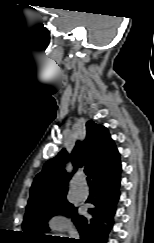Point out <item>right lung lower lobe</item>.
<instances>
[{
  "instance_id": "1",
  "label": "right lung lower lobe",
  "mask_w": 154,
  "mask_h": 243,
  "mask_svg": "<svg viewBox=\"0 0 154 243\" xmlns=\"http://www.w3.org/2000/svg\"><path fill=\"white\" fill-rule=\"evenodd\" d=\"M120 173L119 165L112 173L106 175L95 182L92 187L95 199L92 201L93 208L88 212L91 217L75 214L72 221L76 225L80 240L74 239H51L53 243H107V237L113 226V216L116 211L120 193Z\"/></svg>"
}]
</instances>
